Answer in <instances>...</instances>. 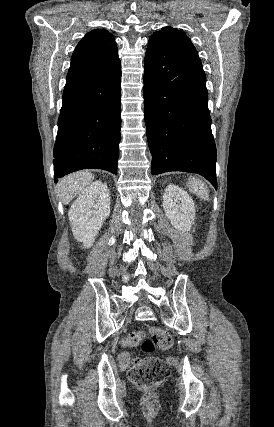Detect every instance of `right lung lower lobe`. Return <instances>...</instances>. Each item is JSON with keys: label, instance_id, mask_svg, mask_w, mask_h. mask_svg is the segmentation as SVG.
I'll use <instances>...</instances> for the list:
<instances>
[{"label": "right lung lower lobe", "instance_id": "obj_1", "mask_svg": "<svg viewBox=\"0 0 274 427\" xmlns=\"http://www.w3.org/2000/svg\"><path fill=\"white\" fill-rule=\"evenodd\" d=\"M120 83V62L100 74L66 83L54 146L55 182L87 168L117 174Z\"/></svg>", "mask_w": 274, "mask_h": 427}]
</instances>
